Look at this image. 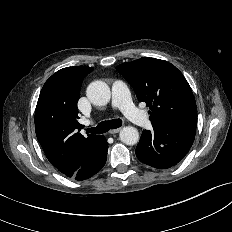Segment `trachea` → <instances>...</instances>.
Listing matches in <instances>:
<instances>
[{"mask_svg":"<svg viewBox=\"0 0 232 232\" xmlns=\"http://www.w3.org/2000/svg\"><path fill=\"white\" fill-rule=\"evenodd\" d=\"M122 125V120L121 119H113V120H108V121H102L100 122L96 127H91L86 129L88 133H93V134H102L110 129H116Z\"/></svg>","mask_w":232,"mask_h":232,"instance_id":"obj_1","label":"trachea"}]
</instances>
